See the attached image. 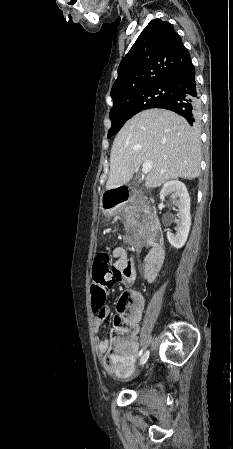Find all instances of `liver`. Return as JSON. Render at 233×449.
Returning <instances> with one entry per match:
<instances>
[{
  "label": "liver",
  "mask_w": 233,
  "mask_h": 449,
  "mask_svg": "<svg viewBox=\"0 0 233 449\" xmlns=\"http://www.w3.org/2000/svg\"><path fill=\"white\" fill-rule=\"evenodd\" d=\"M146 161L153 163L145 186L169 179H194L200 174L201 146L186 119L165 109L144 110L128 120L114 139L107 190L128 183Z\"/></svg>",
  "instance_id": "1"
}]
</instances>
